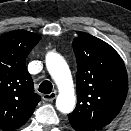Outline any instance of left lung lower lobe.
Returning a JSON list of instances; mask_svg holds the SVG:
<instances>
[{"label": "left lung lower lobe", "instance_id": "left-lung-lower-lobe-1", "mask_svg": "<svg viewBox=\"0 0 131 131\" xmlns=\"http://www.w3.org/2000/svg\"><path fill=\"white\" fill-rule=\"evenodd\" d=\"M76 131H81L79 128H74Z\"/></svg>", "mask_w": 131, "mask_h": 131}]
</instances>
